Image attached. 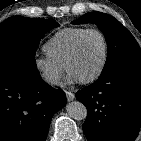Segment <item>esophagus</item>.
Segmentation results:
<instances>
[{
    "mask_svg": "<svg viewBox=\"0 0 141 141\" xmlns=\"http://www.w3.org/2000/svg\"><path fill=\"white\" fill-rule=\"evenodd\" d=\"M66 97L68 101H73L75 99V95L71 91H66Z\"/></svg>",
    "mask_w": 141,
    "mask_h": 141,
    "instance_id": "34e87169",
    "label": "esophagus"
}]
</instances>
